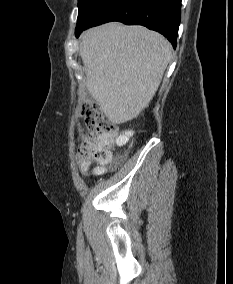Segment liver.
I'll use <instances>...</instances> for the list:
<instances>
[{
    "mask_svg": "<svg viewBox=\"0 0 233 284\" xmlns=\"http://www.w3.org/2000/svg\"><path fill=\"white\" fill-rule=\"evenodd\" d=\"M171 54L161 34L140 25L111 22L81 36L87 90L112 123L132 120L148 107Z\"/></svg>",
    "mask_w": 233,
    "mask_h": 284,
    "instance_id": "liver-1",
    "label": "liver"
}]
</instances>
